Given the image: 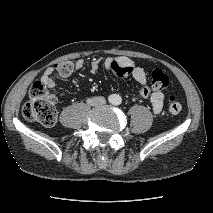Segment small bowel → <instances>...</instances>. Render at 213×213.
I'll use <instances>...</instances> for the list:
<instances>
[{
    "instance_id": "1",
    "label": "small bowel",
    "mask_w": 213,
    "mask_h": 213,
    "mask_svg": "<svg viewBox=\"0 0 213 213\" xmlns=\"http://www.w3.org/2000/svg\"><path fill=\"white\" fill-rule=\"evenodd\" d=\"M103 65L107 70H112V65L114 63H120V64H129L132 68L131 76L133 79L140 84L139 93L144 98H149L152 110L155 114H158L162 111L164 106V94L159 91L155 90L153 87H150L147 82V74L145 70L136 65L131 59L127 57H115V56H109L105 58L103 61ZM101 60L95 59L90 63V72L92 74H95L100 66ZM75 69L80 70L84 66V61L82 59H79L75 62ZM56 67H48L43 72L41 76V81L44 85L53 88L55 86V80L53 77L54 71Z\"/></svg>"
}]
</instances>
